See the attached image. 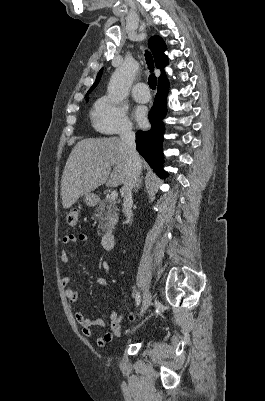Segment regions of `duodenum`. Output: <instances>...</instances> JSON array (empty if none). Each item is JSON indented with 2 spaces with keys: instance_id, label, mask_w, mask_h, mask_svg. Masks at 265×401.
Masks as SVG:
<instances>
[{
  "instance_id": "1",
  "label": "duodenum",
  "mask_w": 265,
  "mask_h": 401,
  "mask_svg": "<svg viewBox=\"0 0 265 401\" xmlns=\"http://www.w3.org/2000/svg\"><path fill=\"white\" fill-rule=\"evenodd\" d=\"M102 246L106 250H111L115 246V236L112 233H106L102 237Z\"/></svg>"
}]
</instances>
